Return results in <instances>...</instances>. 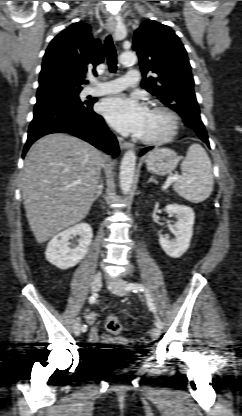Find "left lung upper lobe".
<instances>
[{
	"label": "left lung upper lobe",
	"mask_w": 242,
	"mask_h": 416,
	"mask_svg": "<svg viewBox=\"0 0 242 416\" xmlns=\"http://www.w3.org/2000/svg\"><path fill=\"white\" fill-rule=\"evenodd\" d=\"M133 49L143 73L141 86L175 110L198 137L207 136L194 93L187 52L175 32L148 20L135 31ZM151 71L156 75L146 78Z\"/></svg>",
	"instance_id": "obj_1"
}]
</instances>
